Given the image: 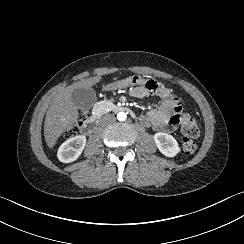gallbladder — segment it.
<instances>
[{
	"label": "gallbladder",
	"mask_w": 244,
	"mask_h": 244,
	"mask_svg": "<svg viewBox=\"0 0 244 244\" xmlns=\"http://www.w3.org/2000/svg\"><path fill=\"white\" fill-rule=\"evenodd\" d=\"M97 97L96 92L92 88H81L76 89L73 93L72 100L74 105L83 110H89L92 108L95 103Z\"/></svg>",
	"instance_id": "1"
}]
</instances>
